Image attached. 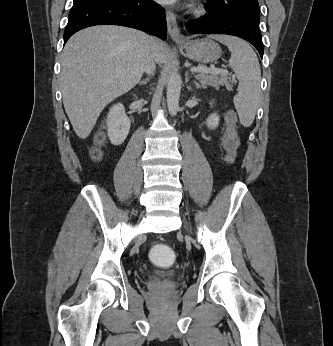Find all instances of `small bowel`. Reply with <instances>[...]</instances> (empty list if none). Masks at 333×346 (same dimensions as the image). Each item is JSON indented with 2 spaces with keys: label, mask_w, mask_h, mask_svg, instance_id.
<instances>
[{
  "label": "small bowel",
  "mask_w": 333,
  "mask_h": 346,
  "mask_svg": "<svg viewBox=\"0 0 333 346\" xmlns=\"http://www.w3.org/2000/svg\"><path fill=\"white\" fill-rule=\"evenodd\" d=\"M210 104H211V106H213L214 105V101H212Z\"/></svg>",
  "instance_id": "c3829d8e"
}]
</instances>
